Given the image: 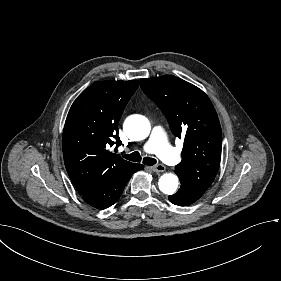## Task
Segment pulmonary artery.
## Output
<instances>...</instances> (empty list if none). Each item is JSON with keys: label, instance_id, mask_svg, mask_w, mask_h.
Returning <instances> with one entry per match:
<instances>
[{"label": "pulmonary artery", "instance_id": "pulmonary-artery-1", "mask_svg": "<svg viewBox=\"0 0 281 281\" xmlns=\"http://www.w3.org/2000/svg\"><path fill=\"white\" fill-rule=\"evenodd\" d=\"M142 149L147 154L157 153L161 159L168 165H175L178 162L179 155L174 151L170 142L165 137V127L162 123L157 122L152 127L151 142L143 144Z\"/></svg>", "mask_w": 281, "mask_h": 281}]
</instances>
